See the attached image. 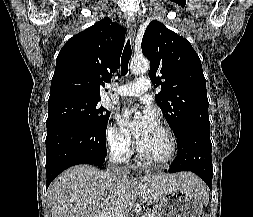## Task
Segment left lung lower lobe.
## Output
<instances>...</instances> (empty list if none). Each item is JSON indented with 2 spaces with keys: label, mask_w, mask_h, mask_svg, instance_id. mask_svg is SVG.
<instances>
[{
  "label": "left lung lower lobe",
  "mask_w": 253,
  "mask_h": 217,
  "mask_svg": "<svg viewBox=\"0 0 253 217\" xmlns=\"http://www.w3.org/2000/svg\"><path fill=\"white\" fill-rule=\"evenodd\" d=\"M176 138L177 157L172 162L168 172L192 171L202 178L211 189L213 168L209 128L188 125L178 132Z\"/></svg>",
  "instance_id": "0a47b994"
}]
</instances>
